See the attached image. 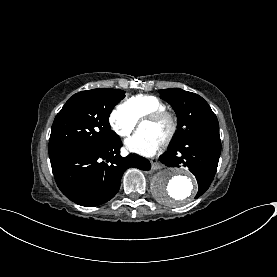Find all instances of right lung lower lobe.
I'll return each mask as SVG.
<instances>
[{
    "label": "right lung lower lobe",
    "mask_w": 277,
    "mask_h": 277,
    "mask_svg": "<svg viewBox=\"0 0 277 277\" xmlns=\"http://www.w3.org/2000/svg\"><path fill=\"white\" fill-rule=\"evenodd\" d=\"M120 147L118 138L101 146L68 149L50 156L61 192L79 205L98 206L116 195L128 168H151L146 158L133 154L121 157Z\"/></svg>",
    "instance_id": "right-lung-lower-lobe-1"
}]
</instances>
